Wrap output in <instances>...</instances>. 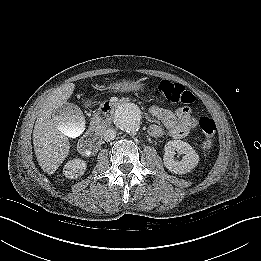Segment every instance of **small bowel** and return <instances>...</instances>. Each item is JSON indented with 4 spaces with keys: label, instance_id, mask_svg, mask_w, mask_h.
Instances as JSON below:
<instances>
[{
    "label": "small bowel",
    "instance_id": "1",
    "mask_svg": "<svg viewBox=\"0 0 261 261\" xmlns=\"http://www.w3.org/2000/svg\"><path fill=\"white\" fill-rule=\"evenodd\" d=\"M150 112L163 124L166 133L175 139L187 136L197 126V118L193 115L189 107H180L175 111H171L153 106ZM149 133L154 137H159L162 136L165 131L161 126L153 124L149 128Z\"/></svg>",
    "mask_w": 261,
    "mask_h": 261
}]
</instances>
